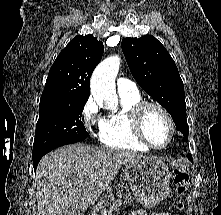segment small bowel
Listing matches in <instances>:
<instances>
[{
  "label": "small bowel",
  "mask_w": 221,
  "mask_h": 215,
  "mask_svg": "<svg viewBox=\"0 0 221 215\" xmlns=\"http://www.w3.org/2000/svg\"><path fill=\"white\" fill-rule=\"evenodd\" d=\"M152 215H174L170 212H161V213H155V214H152Z\"/></svg>",
  "instance_id": "1"
}]
</instances>
